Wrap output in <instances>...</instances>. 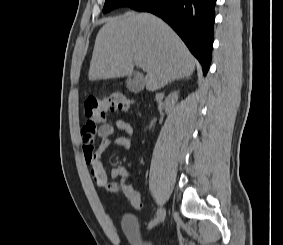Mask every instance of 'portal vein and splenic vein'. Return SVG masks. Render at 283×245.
<instances>
[{
    "mask_svg": "<svg viewBox=\"0 0 283 245\" xmlns=\"http://www.w3.org/2000/svg\"><path fill=\"white\" fill-rule=\"evenodd\" d=\"M137 65H139L143 70L147 69V66L144 63L139 62Z\"/></svg>",
    "mask_w": 283,
    "mask_h": 245,
    "instance_id": "portal-vein-and-splenic-vein-1",
    "label": "portal vein and splenic vein"
}]
</instances>
